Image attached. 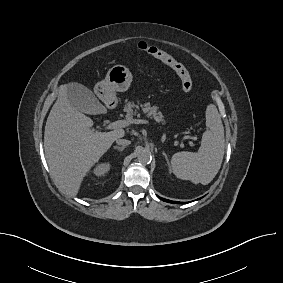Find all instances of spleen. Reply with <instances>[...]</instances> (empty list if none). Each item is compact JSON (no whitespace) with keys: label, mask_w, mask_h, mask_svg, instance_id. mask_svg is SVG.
Listing matches in <instances>:
<instances>
[{"label":"spleen","mask_w":283,"mask_h":283,"mask_svg":"<svg viewBox=\"0 0 283 283\" xmlns=\"http://www.w3.org/2000/svg\"><path fill=\"white\" fill-rule=\"evenodd\" d=\"M207 130L202 135L198 152H178L171 159L172 171L182 180L209 184L217 175L224 156V127L215 105L206 109Z\"/></svg>","instance_id":"spleen-1"}]
</instances>
